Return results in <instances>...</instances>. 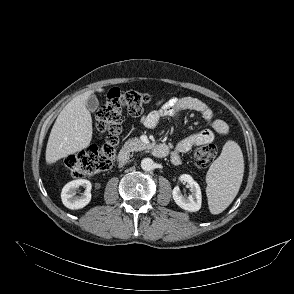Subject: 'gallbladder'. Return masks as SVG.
<instances>
[{"label":"gallbladder","mask_w":294,"mask_h":294,"mask_svg":"<svg viewBox=\"0 0 294 294\" xmlns=\"http://www.w3.org/2000/svg\"><path fill=\"white\" fill-rule=\"evenodd\" d=\"M99 106V100L95 95L89 96V98L86 101V107L91 112H94Z\"/></svg>","instance_id":"bac80fb5"}]
</instances>
